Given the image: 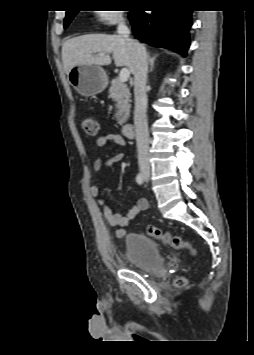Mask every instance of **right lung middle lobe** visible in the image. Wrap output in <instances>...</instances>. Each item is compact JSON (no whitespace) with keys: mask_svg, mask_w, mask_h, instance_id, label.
I'll use <instances>...</instances> for the list:
<instances>
[{"mask_svg":"<svg viewBox=\"0 0 254 355\" xmlns=\"http://www.w3.org/2000/svg\"><path fill=\"white\" fill-rule=\"evenodd\" d=\"M78 11H68L64 20V27H67Z\"/></svg>","mask_w":254,"mask_h":355,"instance_id":"obj_1","label":"right lung middle lobe"}]
</instances>
